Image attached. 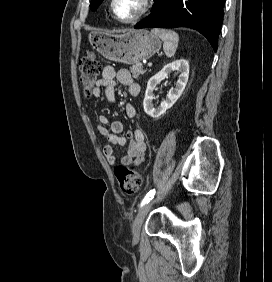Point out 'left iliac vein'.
<instances>
[{
  "label": "left iliac vein",
  "instance_id": "obj_1",
  "mask_svg": "<svg viewBox=\"0 0 272 282\" xmlns=\"http://www.w3.org/2000/svg\"><path fill=\"white\" fill-rule=\"evenodd\" d=\"M155 200H151L148 203H146L145 205H143L135 219L132 225V234H133V240L135 242H137L139 240V236H140V231H141V227L143 224V221L145 219V216L147 215V213L149 212V210L151 209L152 205L154 204Z\"/></svg>",
  "mask_w": 272,
  "mask_h": 282
}]
</instances>
